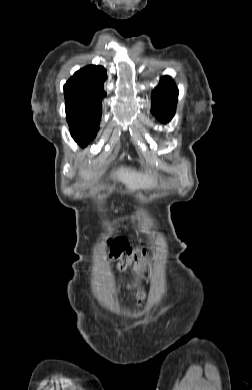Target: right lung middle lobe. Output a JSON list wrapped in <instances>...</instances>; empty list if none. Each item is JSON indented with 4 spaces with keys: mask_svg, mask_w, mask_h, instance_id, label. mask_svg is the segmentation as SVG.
<instances>
[{
    "mask_svg": "<svg viewBox=\"0 0 252 390\" xmlns=\"http://www.w3.org/2000/svg\"><path fill=\"white\" fill-rule=\"evenodd\" d=\"M101 109L66 110L67 121L73 139L80 145L86 146L92 141L98 131Z\"/></svg>",
    "mask_w": 252,
    "mask_h": 390,
    "instance_id": "obj_1",
    "label": "right lung middle lobe"
}]
</instances>
